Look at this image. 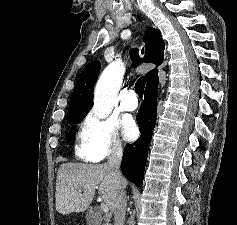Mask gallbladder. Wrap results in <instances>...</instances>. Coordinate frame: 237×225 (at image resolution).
<instances>
[{
  "mask_svg": "<svg viewBox=\"0 0 237 225\" xmlns=\"http://www.w3.org/2000/svg\"><path fill=\"white\" fill-rule=\"evenodd\" d=\"M87 222L89 225H100L101 224L100 218H97L96 220H92L90 217H87Z\"/></svg>",
  "mask_w": 237,
  "mask_h": 225,
  "instance_id": "1",
  "label": "gallbladder"
}]
</instances>
